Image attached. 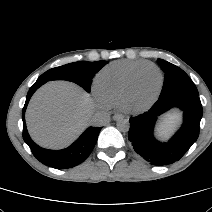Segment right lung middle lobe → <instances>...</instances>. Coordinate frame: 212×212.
Segmentation results:
<instances>
[{"instance_id": "dd1d6c3e", "label": "right lung middle lobe", "mask_w": 212, "mask_h": 212, "mask_svg": "<svg viewBox=\"0 0 212 212\" xmlns=\"http://www.w3.org/2000/svg\"><path fill=\"white\" fill-rule=\"evenodd\" d=\"M107 61H79L69 63L46 71L37 80L45 82L51 80H68L75 82L90 92V83L93 76L107 64Z\"/></svg>"}]
</instances>
